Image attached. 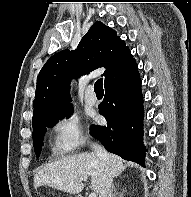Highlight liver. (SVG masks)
<instances>
[{
    "label": "liver",
    "instance_id": "liver-1",
    "mask_svg": "<svg viewBox=\"0 0 191 197\" xmlns=\"http://www.w3.org/2000/svg\"><path fill=\"white\" fill-rule=\"evenodd\" d=\"M110 163L112 177L121 174L126 167L124 160L114 154H110ZM104 175L105 168L95 153H79L43 166L34 175V188L47 185L70 194H79L84 188L81 179L90 177L91 189L100 194Z\"/></svg>",
    "mask_w": 191,
    "mask_h": 197
}]
</instances>
